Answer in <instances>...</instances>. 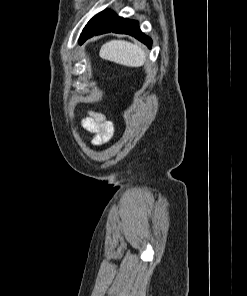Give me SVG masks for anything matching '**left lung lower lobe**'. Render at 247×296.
Listing matches in <instances>:
<instances>
[{
  "label": "left lung lower lobe",
  "mask_w": 247,
  "mask_h": 296,
  "mask_svg": "<svg viewBox=\"0 0 247 296\" xmlns=\"http://www.w3.org/2000/svg\"><path fill=\"white\" fill-rule=\"evenodd\" d=\"M108 32L129 34L151 48V38L141 32L137 21L119 17L110 10L98 13L87 23L80 35L79 43L82 44L94 35Z\"/></svg>",
  "instance_id": "1"
}]
</instances>
